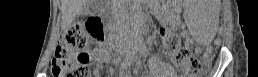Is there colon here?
I'll return each instance as SVG.
<instances>
[{"instance_id": "5ec220e1", "label": "colon", "mask_w": 258, "mask_h": 77, "mask_svg": "<svg viewBox=\"0 0 258 77\" xmlns=\"http://www.w3.org/2000/svg\"><path fill=\"white\" fill-rule=\"evenodd\" d=\"M104 32L100 26L97 38L103 36ZM165 50L173 57L176 64L185 68L188 76H197L204 68V64L192 56L190 52L181 46L179 37L163 28L160 33ZM89 39L85 35L83 25L75 23L62 35L56 47L52 59V74L54 77H89L88 63L90 55L87 52Z\"/></svg>"}]
</instances>
